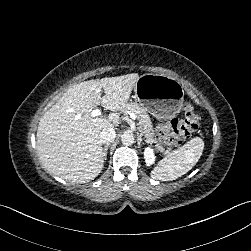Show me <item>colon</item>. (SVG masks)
I'll return each instance as SVG.
<instances>
[{
    "instance_id": "5ec220e1",
    "label": "colon",
    "mask_w": 251,
    "mask_h": 251,
    "mask_svg": "<svg viewBox=\"0 0 251 251\" xmlns=\"http://www.w3.org/2000/svg\"><path fill=\"white\" fill-rule=\"evenodd\" d=\"M200 116L189 100H185L183 117L157 127L158 139L167 146H179L199 127Z\"/></svg>"
}]
</instances>
